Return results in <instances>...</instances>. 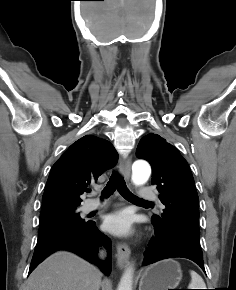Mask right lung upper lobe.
Returning <instances> with one entry per match:
<instances>
[{
  "label": "right lung upper lobe",
  "mask_w": 236,
  "mask_h": 290,
  "mask_svg": "<svg viewBox=\"0 0 236 290\" xmlns=\"http://www.w3.org/2000/svg\"><path fill=\"white\" fill-rule=\"evenodd\" d=\"M117 160L118 153L107 140L92 135L77 140L53 165L41 211L78 207L87 186Z\"/></svg>",
  "instance_id": "right-lung-upper-lobe-1"
}]
</instances>
